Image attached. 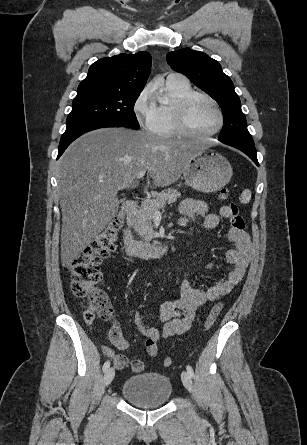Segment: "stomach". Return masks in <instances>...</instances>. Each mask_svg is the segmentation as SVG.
Returning a JSON list of instances; mask_svg holds the SVG:
<instances>
[{"label":"stomach","instance_id":"1","mask_svg":"<svg viewBox=\"0 0 307 445\" xmlns=\"http://www.w3.org/2000/svg\"><path fill=\"white\" fill-rule=\"evenodd\" d=\"M232 174L229 160L211 148H199L183 172L188 186L198 192H216L224 188Z\"/></svg>","mask_w":307,"mask_h":445}]
</instances>
